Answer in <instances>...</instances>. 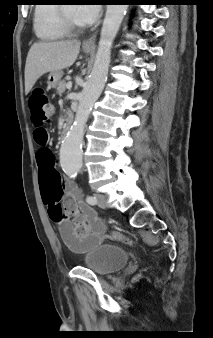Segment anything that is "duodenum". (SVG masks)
Listing matches in <instances>:
<instances>
[{"instance_id": "1", "label": "duodenum", "mask_w": 213, "mask_h": 338, "mask_svg": "<svg viewBox=\"0 0 213 338\" xmlns=\"http://www.w3.org/2000/svg\"><path fill=\"white\" fill-rule=\"evenodd\" d=\"M71 126H72V119H71L70 116H68L67 122L65 123V125L63 127V136L67 135V133L69 132Z\"/></svg>"}]
</instances>
